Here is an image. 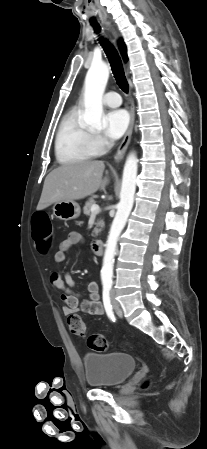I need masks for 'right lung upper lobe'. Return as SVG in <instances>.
<instances>
[{
    "mask_svg": "<svg viewBox=\"0 0 207 449\" xmlns=\"http://www.w3.org/2000/svg\"><path fill=\"white\" fill-rule=\"evenodd\" d=\"M120 50H121V54L123 56V59L125 61H127V55H126V46L123 42H120Z\"/></svg>",
    "mask_w": 207,
    "mask_h": 449,
    "instance_id": "1",
    "label": "right lung upper lobe"
}]
</instances>
